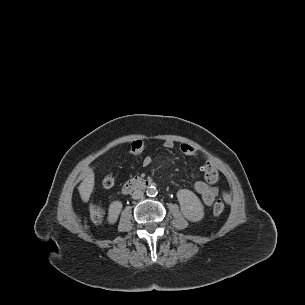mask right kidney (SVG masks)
Instances as JSON below:
<instances>
[{"instance_id":"obj_1","label":"right kidney","mask_w":305,"mask_h":305,"mask_svg":"<svg viewBox=\"0 0 305 305\" xmlns=\"http://www.w3.org/2000/svg\"><path fill=\"white\" fill-rule=\"evenodd\" d=\"M121 210H122V202H120V201H113L109 205V209H108V222L110 224H114L117 221L118 216H119Z\"/></svg>"}]
</instances>
